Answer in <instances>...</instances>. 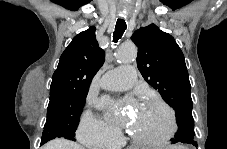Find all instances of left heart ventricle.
<instances>
[{
	"label": "left heart ventricle",
	"mask_w": 227,
	"mask_h": 149,
	"mask_svg": "<svg viewBox=\"0 0 227 149\" xmlns=\"http://www.w3.org/2000/svg\"><path fill=\"white\" fill-rule=\"evenodd\" d=\"M130 120L131 131L145 138L160 137L169 129V117L166 110L151 102H145L139 106Z\"/></svg>",
	"instance_id": "obj_1"
}]
</instances>
